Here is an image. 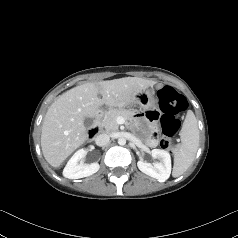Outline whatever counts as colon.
Returning <instances> with one entry per match:
<instances>
[{"label": "colon", "mask_w": 238, "mask_h": 238, "mask_svg": "<svg viewBox=\"0 0 238 238\" xmlns=\"http://www.w3.org/2000/svg\"><path fill=\"white\" fill-rule=\"evenodd\" d=\"M159 110L162 113L160 120L163 149H170L171 138L178 131L180 121L177 116L187 108V101L171 86H164L158 91Z\"/></svg>", "instance_id": "5ec220e1"}]
</instances>
